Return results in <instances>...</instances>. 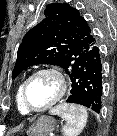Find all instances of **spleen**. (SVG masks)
Here are the masks:
<instances>
[{
    "mask_svg": "<svg viewBox=\"0 0 117 136\" xmlns=\"http://www.w3.org/2000/svg\"><path fill=\"white\" fill-rule=\"evenodd\" d=\"M50 113L66 121L64 136H78L87 123L88 113L81 105L62 103L52 108Z\"/></svg>",
    "mask_w": 117,
    "mask_h": 136,
    "instance_id": "obj_1",
    "label": "spleen"
}]
</instances>
